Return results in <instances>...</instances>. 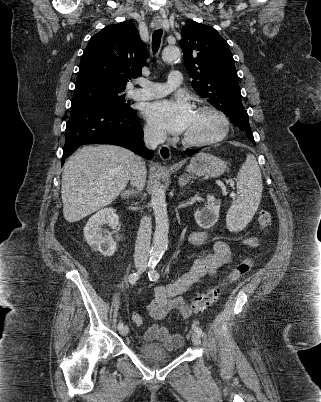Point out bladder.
Masks as SVG:
<instances>
[{"label": "bladder", "instance_id": "obj_1", "mask_svg": "<svg viewBox=\"0 0 321 402\" xmlns=\"http://www.w3.org/2000/svg\"><path fill=\"white\" fill-rule=\"evenodd\" d=\"M139 355L147 361H168L174 358L173 353H169L158 343L144 342L139 347Z\"/></svg>", "mask_w": 321, "mask_h": 402}]
</instances>
